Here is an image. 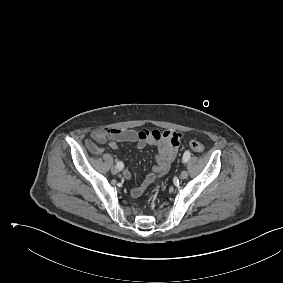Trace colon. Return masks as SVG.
I'll list each match as a JSON object with an SVG mask.
<instances>
[{
    "instance_id": "5ec220e1",
    "label": "colon",
    "mask_w": 283,
    "mask_h": 283,
    "mask_svg": "<svg viewBox=\"0 0 283 283\" xmlns=\"http://www.w3.org/2000/svg\"><path fill=\"white\" fill-rule=\"evenodd\" d=\"M189 146H190V148H191L193 151H195V152H197V153H202V152H204V150H205L204 145H203L202 143H200L199 141H197V140H191V141L189 142ZM90 148H91V150H93V151H98V148H97V146H96L94 143H91V144H90Z\"/></svg>"
}]
</instances>
